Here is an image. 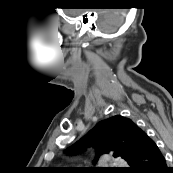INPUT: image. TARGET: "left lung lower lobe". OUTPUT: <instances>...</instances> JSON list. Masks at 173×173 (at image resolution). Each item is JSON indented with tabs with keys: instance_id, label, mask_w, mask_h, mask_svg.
<instances>
[{
	"instance_id": "obj_1",
	"label": "left lung lower lobe",
	"mask_w": 173,
	"mask_h": 173,
	"mask_svg": "<svg viewBox=\"0 0 173 173\" xmlns=\"http://www.w3.org/2000/svg\"><path fill=\"white\" fill-rule=\"evenodd\" d=\"M126 173H168L165 158L156 143L143 131L142 145L131 157Z\"/></svg>"
}]
</instances>
